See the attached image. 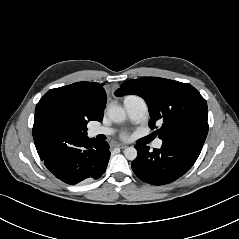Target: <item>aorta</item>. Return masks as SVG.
<instances>
[{"mask_svg":"<svg viewBox=\"0 0 239 239\" xmlns=\"http://www.w3.org/2000/svg\"><path fill=\"white\" fill-rule=\"evenodd\" d=\"M108 116L113 122L119 123L125 120L126 112L122 107L113 105L108 108ZM124 155L128 160L133 161L137 157V150L134 147H128Z\"/></svg>","mask_w":239,"mask_h":239,"instance_id":"762f6f07","label":"aorta"}]
</instances>
